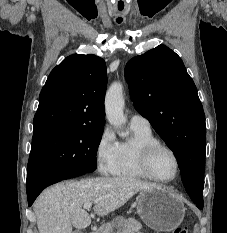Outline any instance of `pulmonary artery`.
Segmentation results:
<instances>
[{"instance_id":"pulmonary-artery-1","label":"pulmonary artery","mask_w":227,"mask_h":233,"mask_svg":"<svg viewBox=\"0 0 227 233\" xmlns=\"http://www.w3.org/2000/svg\"><path fill=\"white\" fill-rule=\"evenodd\" d=\"M131 128L149 131L151 130L150 122L140 114H133L129 121Z\"/></svg>"}]
</instances>
